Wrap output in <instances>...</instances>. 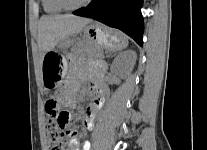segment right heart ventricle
<instances>
[{
    "instance_id": "right-heart-ventricle-1",
    "label": "right heart ventricle",
    "mask_w": 207,
    "mask_h": 150,
    "mask_svg": "<svg viewBox=\"0 0 207 150\" xmlns=\"http://www.w3.org/2000/svg\"><path fill=\"white\" fill-rule=\"evenodd\" d=\"M42 6L48 14H59L63 11L54 0H42Z\"/></svg>"
}]
</instances>
